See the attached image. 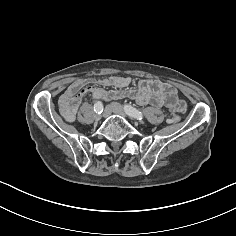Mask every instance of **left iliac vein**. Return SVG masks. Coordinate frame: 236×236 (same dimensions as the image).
Masks as SVG:
<instances>
[{"label":"left iliac vein","mask_w":236,"mask_h":236,"mask_svg":"<svg viewBox=\"0 0 236 236\" xmlns=\"http://www.w3.org/2000/svg\"><path fill=\"white\" fill-rule=\"evenodd\" d=\"M111 111L115 114H118L120 116L126 117V113L124 111V108L121 104L117 103V102H113L111 103Z\"/></svg>","instance_id":"obj_1"}]
</instances>
